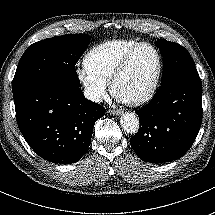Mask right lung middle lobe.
<instances>
[{"label": "right lung middle lobe", "mask_w": 215, "mask_h": 215, "mask_svg": "<svg viewBox=\"0 0 215 215\" xmlns=\"http://www.w3.org/2000/svg\"><path fill=\"white\" fill-rule=\"evenodd\" d=\"M89 41V35L67 34L30 45L18 63L12 84L13 95L43 82L80 87L75 65Z\"/></svg>", "instance_id": "1"}]
</instances>
